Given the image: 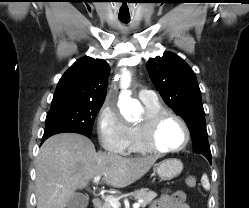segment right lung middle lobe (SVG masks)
Returning a JSON list of instances; mask_svg holds the SVG:
<instances>
[{
  "label": "right lung middle lobe",
  "instance_id": "obj_1",
  "mask_svg": "<svg viewBox=\"0 0 249 208\" xmlns=\"http://www.w3.org/2000/svg\"><path fill=\"white\" fill-rule=\"evenodd\" d=\"M102 102H70L51 106L45 131L61 130L90 136Z\"/></svg>",
  "mask_w": 249,
  "mask_h": 208
}]
</instances>
